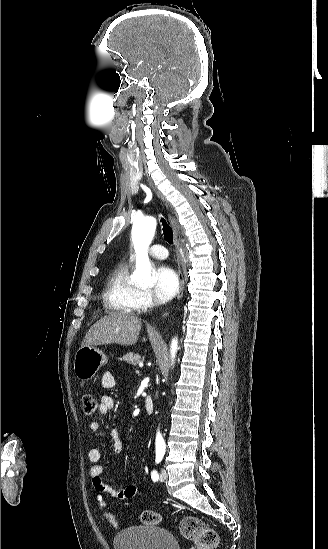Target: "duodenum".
Returning <instances> with one entry per match:
<instances>
[{
    "label": "duodenum",
    "mask_w": 328,
    "mask_h": 549,
    "mask_svg": "<svg viewBox=\"0 0 328 549\" xmlns=\"http://www.w3.org/2000/svg\"><path fill=\"white\" fill-rule=\"evenodd\" d=\"M144 404L148 413H152L154 411V401L150 395L145 397Z\"/></svg>",
    "instance_id": "410a0bca"
}]
</instances>
